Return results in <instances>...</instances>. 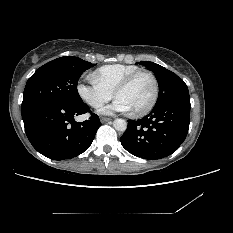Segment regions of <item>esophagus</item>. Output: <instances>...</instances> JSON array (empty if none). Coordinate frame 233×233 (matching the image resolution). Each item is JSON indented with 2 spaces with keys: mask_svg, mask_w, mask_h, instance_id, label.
<instances>
[{
  "mask_svg": "<svg viewBox=\"0 0 233 233\" xmlns=\"http://www.w3.org/2000/svg\"><path fill=\"white\" fill-rule=\"evenodd\" d=\"M100 121H101L102 123H106V122L111 121V119H110V118H106V117H101Z\"/></svg>",
  "mask_w": 233,
  "mask_h": 233,
  "instance_id": "obj_1",
  "label": "esophagus"
}]
</instances>
